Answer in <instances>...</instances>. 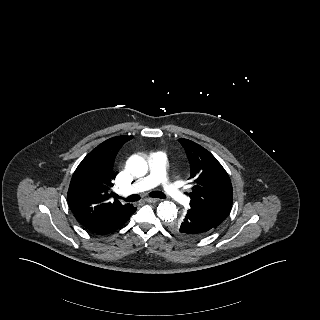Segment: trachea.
<instances>
[{
	"label": "trachea",
	"mask_w": 320,
	"mask_h": 320,
	"mask_svg": "<svg viewBox=\"0 0 320 320\" xmlns=\"http://www.w3.org/2000/svg\"><path fill=\"white\" fill-rule=\"evenodd\" d=\"M149 195L151 197H154V198H166V195L161 191H153ZM118 198L122 199L121 197H118ZM139 199H140V196L134 194V195H130L127 198H125L124 201H126V202H135V201H138Z\"/></svg>",
	"instance_id": "3493384b"
}]
</instances>
